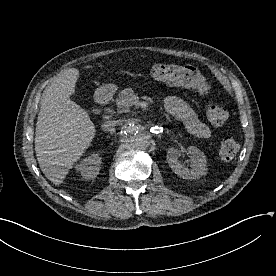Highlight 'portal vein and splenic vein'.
Wrapping results in <instances>:
<instances>
[{
	"instance_id": "18ae733b",
	"label": "portal vein and splenic vein",
	"mask_w": 276,
	"mask_h": 276,
	"mask_svg": "<svg viewBox=\"0 0 276 276\" xmlns=\"http://www.w3.org/2000/svg\"><path fill=\"white\" fill-rule=\"evenodd\" d=\"M138 97L133 96L131 99H129L130 105H134L137 102Z\"/></svg>"
}]
</instances>
